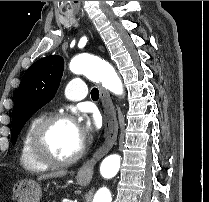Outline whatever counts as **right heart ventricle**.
Listing matches in <instances>:
<instances>
[{"label":"right heart ventricle","instance_id":"right-heart-ventricle-1","mask_svg":"<svg viewBox=\"0 0 209 202\" xmlns=\"http://www.w3.org/2000/svg\"><path fill=\"white\" fill-rule=\"evenodd\" d=\"M43 119L41 116H37L30 120V122L25 127L20 142V152L19 158L21 165L28 171L40 172L44 171L47 167L39 164L30 153V140L32 133L37 126V124Z\"/></svg>","mask_w":209,"mask_h":202}]
</instances>
